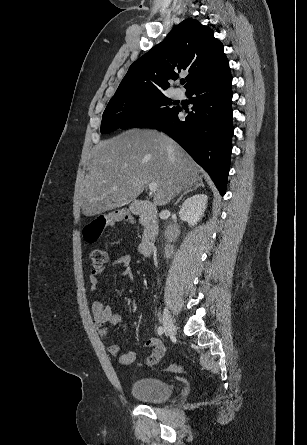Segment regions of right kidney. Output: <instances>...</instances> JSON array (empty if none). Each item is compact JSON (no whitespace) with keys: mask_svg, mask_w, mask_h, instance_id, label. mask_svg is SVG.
<instances>
[{"mask_svg":"<svg viewBox=\"0 0 307 445\" xmlns=\"http://www.w3.org/2000/svg\"><path fill=\"white\" fill-rule=\"evenodd\" d=\"M207 200V194H194V196L186 198L179 210L180 218L186 220V223H188L190 227L198 225L201 216H204Z\"/></svg>","mask_w":307,"mask_h":445,"instance_id":"right-kidney-1","label":"right kidney"}]
</instances>
